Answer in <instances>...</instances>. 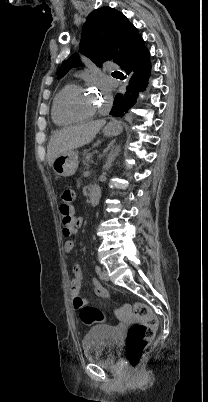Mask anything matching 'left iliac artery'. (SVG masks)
<instances>
[{
	"mask_svg": "<svg viewBox=\"0 0 208 402\" xmlns=\"http://www.w3.org/2000/svg\"><path fill=\"white\" fill-rule=\"evenodd\" d=\"M95 271H96V273H97L98 275L101 274V268H100L99 265H96V266H95Z\"/></svg>",
	"mask_w": 208,
	"mask_h": 402,
	"instance_id": "obj_1",
	"label": "left iliac artery"
}]
</instances>
